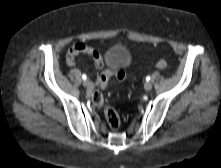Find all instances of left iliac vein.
<instances>
[{
	"instance_id": "1",
	"label": "left iliac vein",
	"mask_w": 221,
	"mask_h": 168,
	"mask_svg": "<svg viewBox=\"0 0 221 168\" xmlns=\"http://www.w3.org/2000/svg\"><path fill=\"white\" fill-rule=\"evenodd\" d=\"M144 89H145V91H150L152 89V83L151 82H146L144 84Z\"/></svg>"
}]
</instances>
